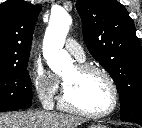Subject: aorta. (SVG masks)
Segmentation results:
<instances>
[{"label": "aorta", "mask_w": 142, "mask_h": 128, "mask_svg": "<svg viewBox=\"0 0 142 128\" xmlns=\"http://www.w3.org/2000/svg\"><path fill=\"white\" fill-rule=\"evenodd\" d=\"M71 24V16L63 9L50 16L43 40V55L55 73H61L71 63L70 55L63 49Z\"/></svg>", "instance_id": "obj_1"}]
</instances>
